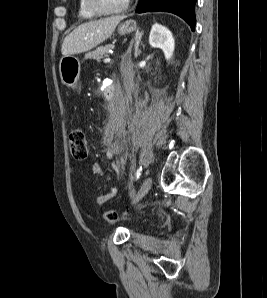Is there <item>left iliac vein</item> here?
Masks as SVG:
<instances>
[{"mask_svg": "<svg viewBox=\"0 0 267 298\" xmlns=\"http://www.w3.org/2000/svg\"><path fill=\"white\" fill-rule=\"evenodd\" d=\"M151 185H152V178L147 177L143 181V183H142L140 189L138 190V192L136 193V195L134 196L133 203H137L139 200H141L148 193V191L151 188Z\"/></svg>", "mask_w": 267, "mask_h": 298, "instance_id": "left-iliac-vein-1", "label": "left iliac vein"}]
</instances>
